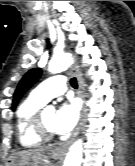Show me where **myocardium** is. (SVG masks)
Masks as SVG:
<instances>
[{
  "mask_svg": "<svg viewBox=\"0 0 135 166\" xmlns=\"http://www.w3.org/2000/svg\"><path fill=\"white\" fill-rule=\"evenodd\" d=\"M45 110L40 109L32 119V128L35 134L43 141H50L54 138V133L46 128L43 122V114Z\"/></svg>",
  "mask_w": 135,
  "mask_h": 166,
  "instance_id": "f54148a6",
  "label": "myocardium"
}]
</instances>
